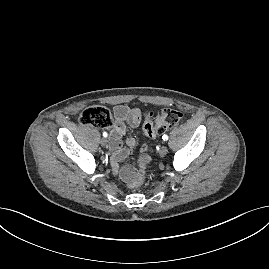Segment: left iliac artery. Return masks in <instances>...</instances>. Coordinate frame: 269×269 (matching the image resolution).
Wrapping results in <instances>:
<instances>
[{
    "label": "left iliac artery",
    "mask_w": 269,
    "mask_h": 269,
    "mask_svg": "<svg viewBox=\"0 0 269 269\" xmlns=\"http://www.w3.org/2000/svg\"><path fill=\"white\" fill-rule=\"evenodd\" d=\"M162 139H163L164 141H167V140H168V135L164 134V135L162 136Z\"/></svg>",
    "instance_id": "1"
}]
</instances>
